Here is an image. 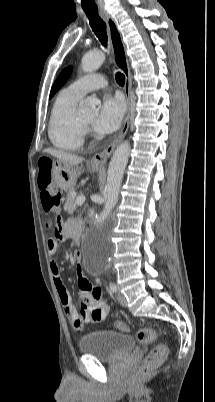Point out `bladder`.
<instances>
[{
    "label": "bladder",
    "instance_id": "31cf9c89",
    "mask_svg": "<svg viewBox=\"0 0 215 402\" xmlns=\"http://www.w3.org/2000/svg\"><path fill=\"white\" fill-rule=\"evenodd\" d=\"M135 348L132 336L114 331L98 330L82 336L79 349L83 354L102 362H113Z\"/></svg>",
    "mask_w": 215,
    "mask_h": 402
}]
</instances>
